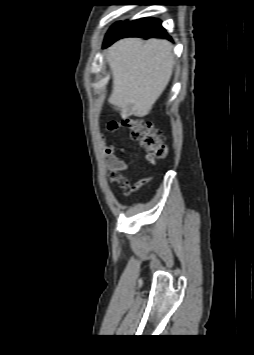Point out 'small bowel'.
I'll return each instance as SVG.
<instances>
[{
  "instance_id": "small-bowel-1",
  "label": "small bowel",
  "mask_w": 254,
  "mask_h": 355,
  "mask_svg": "<svg viewBox=\"0 0 254 355\" xmlns=\"http://www.w3.org/2000/svg\"><path fill=\"white\" fill-rule=\"evenodd\" d=\"M114 123L112 126H109V123ZM108 123V130L110 132L117 131L122 127L120 121H111ZM103 153L105 157V162L108 170L110 171V181L117 183L124 191L125 195H130L136 189L141 187L143 184L151 181L153 177H146L138 181L133 182V179L129 176L123 175V172H126L129 168V164L121 156L122 153H126L128 149L126 147H117L114 144H108L105 141V137L101 136ZM147 161L151 164H155L154 158L146 157Z\"/></svg>"
}]
</instances>
